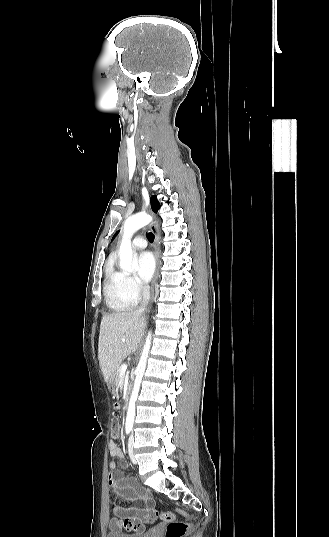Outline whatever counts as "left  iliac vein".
Listing matches in <instances>:
<instances>
[{
    "instance_id": "1",
    "label": "left iliac vein",
    "mask_w": 329,
    "mask_h": 537,
    "mask_svg": "<svg viewBox=\"0 0 329 537\" xmlns=\"http://www.w3.org/2000/svg\"><path fill=\"white\" fill-rule=\"evenodd\" d=\"M134 437L133 435L129 438V443H128V451H129V455H130V458L132 460L133 463H137L135 457H134Z\"/></svg>"
}]
</instances>
